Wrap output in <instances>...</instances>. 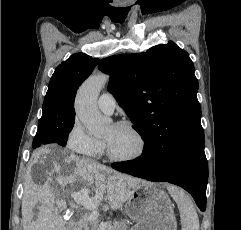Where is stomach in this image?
I'll return each instance as SVG.
<instances>
[{"instance_id": "0dacf381", "label": "stomach", "mask_w": 241, "mask_h": 230, "mask_svg": "<svg viewBox=\"0 0 241 230\" xmlns=\"http://www.w3.org/2000/svg\"><path fill=\"white\" fill-rule=\"evenodd\" d=\"M126 214L135 222L132 230H176L172 202L162 189L139 182L125 205Z\"/></svg>"}]
</instances>
